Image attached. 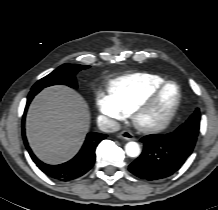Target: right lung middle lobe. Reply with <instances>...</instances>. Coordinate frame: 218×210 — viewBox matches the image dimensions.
<instances>
[{"label":"right lung middle lobe","mask_w":218,"mask_h":210,"mask_svg":"<svg viewBox=\"0 0 218 210\" xmlns=\"http://www.w3.org/2000/svg\"><path fill=\"white\" fill-rule=\"evenodd\" d=\"M87 65L63 64L49 75L39 80L31 89V94H37L43 88L51 85L65 84L72 88L77 87L76 73L80 70L87 69Z\"/></svg>","instance_id":"1"}]
</instances>
